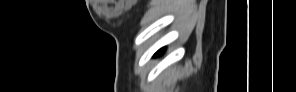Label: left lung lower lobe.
Returning <instances> with one entry per match:
<instances>
[{"mask_svg":"<svg viewBox=\"0 0 296 92\" xmlns=\"http://www.w3.org/2000/svg\"><path fill=\"white\" fill-rule=\"evenodd\" d=\"M163 52H164V48L160 49V50L155 54V56L161 55Z\"/></svg>","mask_w":296,"mask_h":92,"instance_id":"obj_1","label":"left lung lower lobe"}]
</instances>
